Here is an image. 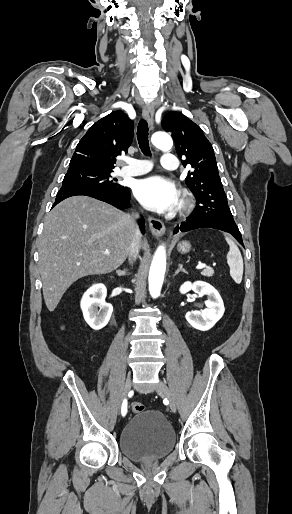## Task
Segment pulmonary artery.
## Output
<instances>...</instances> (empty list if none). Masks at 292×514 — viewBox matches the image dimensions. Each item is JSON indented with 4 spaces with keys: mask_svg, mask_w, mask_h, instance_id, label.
Returning a JSON list of instances; mask_svg holds the SVG:
<instances>
[{
    "mask_svg": "<svg viewBox=\"0 0 292 514\" xmlns=\"http://www.w3.org/2000/svg\"><path fill=\"white\" fill-rule=\"evenodd\" d=\"M131 165L133 170L123 169L122 175L125 176H136L144 172H149L153 165L149 158L144 159L143 157H132ZM178 169V159L173 156L170 151H167L161 159V170L163 172H175Z\"/></svg>",
    "mask_w": 292,
    "mask_h": 514,
    "instance_id": "1",
    "label": "pulmonary artery"
}]
</instances>
